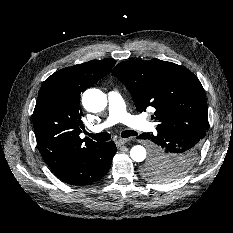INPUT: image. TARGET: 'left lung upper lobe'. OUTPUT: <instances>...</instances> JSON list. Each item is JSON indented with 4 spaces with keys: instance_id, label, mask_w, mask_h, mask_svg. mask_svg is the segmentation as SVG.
I'll list each match as a JSON object with an SVG mask.
<instances>
[{
    "instance_id": "1",
    "label": "left lung upper lobe",
    "mask_w": 233,
    "mask_h": 233,
    "mask_svg": "<svg viewBox=\"0 0 233 233\" xmlns=\"http://www.w3.org/2000/svg\"><path fill=\"white\" fill-rule=\"evenodd\" d=\"M112 73L128 89L139 112L150 106L155 109L151 118L158 122L157 130L190 129L201 138L205 136L208 127L205 91L190 70L159 59H132L119 63ZM166 169L170 170L160 160L151 159L143 173L155 181L177 180L159 174ZM187 173L180 174L183 177Z\"/></svg>"
}]
</instances>
